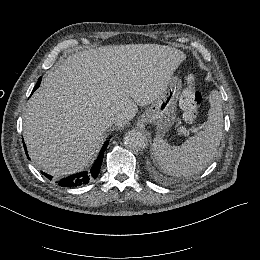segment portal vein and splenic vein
<instances>
[{"mask_svg": "<svg viewBox=\"0 0 260 260\" xmlns=\"http://www.w3.org/2000/svg\"><path fill=\"white\" fill-rule=\"evenodd\" d=\"M178 133L184 134V135H189V131L183 126L178 128Z\"/></svg>", "mask_w": 260, "mask_h": 260, "instance_id": "obj_1", "label": "portal vein and splenic vein"}]
</instances>
